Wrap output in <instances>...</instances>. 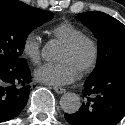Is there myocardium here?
Listing matches in <instances>:
<instances>
[{
    "label": "myocardium",
    "mask_w": 125,
    "mask_h": 125,
    "mask_svg": "<svg viewBox=\"0 0 125 125\" xmlns=\"http://www.w3.org/2000/svg\"><path fill=\"white\" fill-rule=\"evenodd\" d=\"M82 43H87L91 48V56L87 64L79 71L80 74L85 75L92 71V69L95 67L97 60H98V54H99V47L95 39L89 35L81 34L70 41L63 44V47H65L68 50H74Z\"/></svg>",
    "instance_id": "obj_1"
}]
</instances>
